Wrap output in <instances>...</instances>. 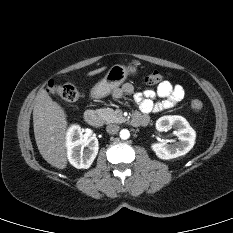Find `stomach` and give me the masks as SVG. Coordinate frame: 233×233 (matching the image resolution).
Segmentation results:
<instances>
[{
	"label": "stomach",
	"mask_w": 233,
	"mask_h": 233,
	"mask_svg": "<svg viewBox=\"0 0 233 233\" xmlns=\"http://www.w3.org/2000/svg\"><path fill=\"white\" fill-rule=\"evenodd\" d=\"M137 71L138 69L135 65H113L108 70L105 77L93 87L91 91L92 97L102 98L109 95L114 89L119 87L129 75L136 74Z\"/></svg>",
	"instance_id": "stomach-1"
}]
</instances>
